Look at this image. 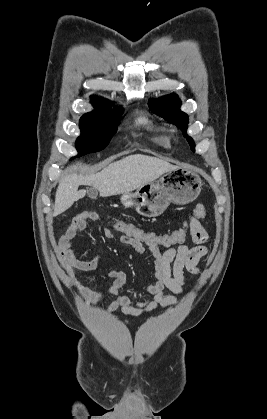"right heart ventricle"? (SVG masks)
I'll use <instances>...</instances> for the list:
<instances>
[{
    "label": "right heart ventricle",
    "mask_w": 267,
    "mask_h": 419,
    "mask_svg": "<svg viewBox=\"0 0 267 419\" xmlns=\"http://www.w3.org/2000/svg\"><path fill=\"white\" fill-rule=\"evenodd\" d=\"M137 123L142 125L145 129L150 130V131H156L157 127L154 124L152 118L150 116H148L147 114H141L137 117ZM159 140L162 144L164 145H168V137L165 135H161L159 137Z\"/></svg>",
    "instance_id": "right-heart-ventricle-1"
}]
</instances>
